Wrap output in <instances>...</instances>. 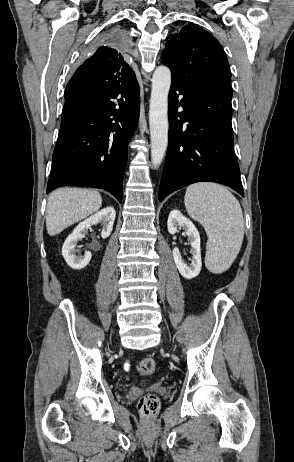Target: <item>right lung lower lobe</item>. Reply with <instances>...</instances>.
Here are the masks:
<instances>
[{
	"instance_id": "1",
	"label": "right lung lower lobe",
	"mask_w": 294,
	"mask_h": 462,
	"mask_svg": "<svg viewBox=\"0 0 294 462\" xmlns=\"http://www.w3.org/2000/svg\"><path fill=\"white\" fill-rule=\"evenodd\" d=\"M117 96L122 98L115 102ZM139 118L136 77L94 94L66 93L47 194L60 186L106 189L122 201L127 146Z\"/></svg>"
}]
</instances>
